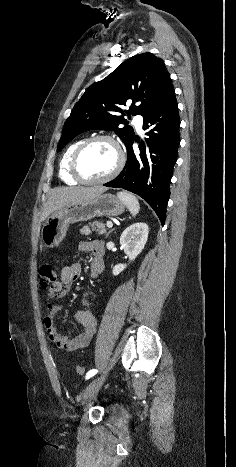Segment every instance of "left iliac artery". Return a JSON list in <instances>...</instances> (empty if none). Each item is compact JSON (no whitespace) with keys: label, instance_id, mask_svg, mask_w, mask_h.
Listing matches in <instances>:
<instances>
[{"label":"left iliac artery","instance_id":"1","mask_svg":"<svg viewBox=\"0 0 236 467\" xmlns=\"http://www.w3.org/2000/svg\"><path fill=\"white\" fill-rule=\"evenodd\" d=\"M96 373H97V370H96V369H92V370L88 371L87 374H86V379H90V378L93 377Z\"/></svg>","mask_w":236,"mask_h":467}]
</instances>
